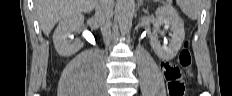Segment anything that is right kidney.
Masks as SVG:
<instances>
[{
  "label": "right kidney",
  "mask_w": 232,
  "mask_h": 96,
  "mask_svg": "<svg viewBox=\"0 0 232 96\" xmlns=\"http://www.w3.org/2000/svg\"><path fill=\"white\" fill-rule=\"evenodd\" d=\"M84 22V17L80 13L69 15L64 17L58 24L53 34V42L56 51L59 55L68 57L79 51L83 43L75 41L74 43H68L67 38L71 33L78 32Z\"/></svg>",
  "instance_id": "ca27d5eb"
}]
</instances>
